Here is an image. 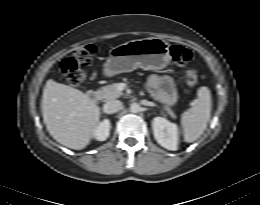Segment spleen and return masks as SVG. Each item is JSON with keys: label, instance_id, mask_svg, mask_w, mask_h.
<instances>
[{"label": "spleen", "instance_id": "obj_1", "mask_svg": "<svg viewBox=\"0 0 260 205\" xmlns=\"http://www.w3.org/2000/svg\"><path fill=\"white\" fill-rule=\"evenodd\" d=\"M196 104L182 114L184 141L191 143L196 141L207 128L211 115V93L203 86L198 89Z\"/></svg>", "mask_w": 260, "mask_h": 205}]
</instances>
